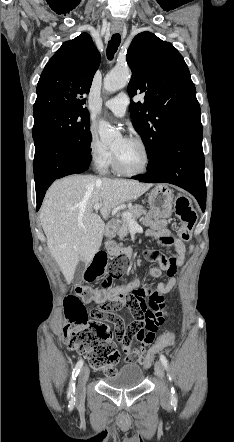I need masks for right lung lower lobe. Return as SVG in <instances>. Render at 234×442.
<instances>
[{"instance_id":"obj_1","label":"right lung lower lobe","mask_w":234,"mask_h":442,"mask_svg":"<svg viewBox=\"0 0 234 442\" xmlns=\"http://www.w3.org/2000/svg\"><path fill=\"white\" fill-rule=\"evenodd\" d=\"M34 144L33 168L38 210L48 187L56 179L87 170L91 156L64 139L42 137L36 139Z\"/></svg>"}]
</instances>
